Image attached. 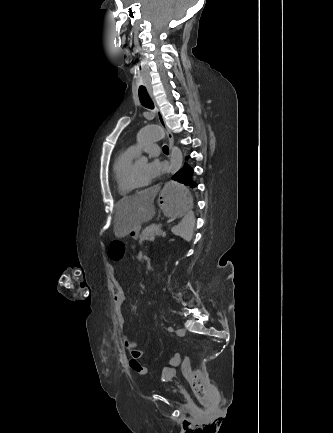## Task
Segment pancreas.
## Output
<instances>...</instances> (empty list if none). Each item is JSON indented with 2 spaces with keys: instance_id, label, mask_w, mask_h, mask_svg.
<instances>
[{
  "instance_id": "obj_1",
  "label": "pancreas",
  "mask_w": 333,
  "mask_h": 433,
  "mask_svg": "<svg viewBox=\"0 0 333 433\" xmlns=\"http://www.w3.org/2000/svg\"><path fill=\"white\" fill-rule=\"evenodd\" d=\"M162 231V224H151L142 230L139 236V244L149 240L151 236H156L158 232Z\"/></svg>"
}]
</instances>
